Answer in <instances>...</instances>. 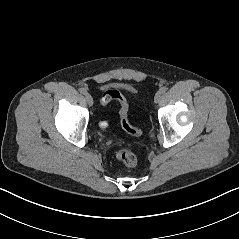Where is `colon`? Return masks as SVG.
Segmentation results:
<instances>
[{
  "label": "colon",
  "instance_id": "colon-1",
  "mask_svg": "<svg viewBox=\"0 0 239 239\" xmlns=\"http://www.w3.org/2000/svg\"><path fill=\"white\" fill-rule=\"evenodd\" d=\"M115 99L120 105V120L123 129L134 136H138L142 133L140 128L134 127L129 123L128 120V104L124 97L117 90H107L104 95L103 101L106 103L109 100ZM101 126L106 127V123L102 122ZM116 158L119 162L128 167H133L137 164V156L134 152L128 149H119L116 152Z\"/></svg>",
  "mask_w": 239,
  "mask_h": 239
}]
</instances>
